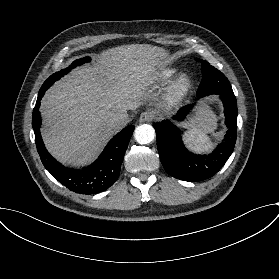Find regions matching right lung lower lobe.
<instances>
[{
	"label": "right lung lower lobe",
	"instance_id": "98d812e1",
	"mask_svg": "<svg viewBox=\"0 0 279 279\" xmlns=\"http://www.w3.org/2000/svg\"><path fill=\"white\" fill-rule=\"evenodd\" d=\"M47 89L42 85L32 115L36 147L43 165L56 180L73 192L91 195L105 191L118 179L134 126H128L118 133L90 166L77 170L64 167L46 150L40 134L41 119L38 110L40 100Z\"/></svg>",
	"mask_w": 279,
	"mask_h": 279
}]
</instances>
